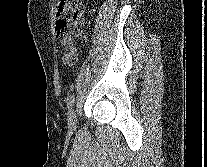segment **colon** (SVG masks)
I'll use <instances>...</instances> for the list:
<instances>
[{"label": "colon", "mask_w": 207, "mask_h": 167, "mask_svg": "<svg viewBox=\"0 0 207 167\" xmlns=\"http://www.w3.org/2000/svg\"><path fill=\"white\" fill-rule=\"evenodd\" d=\"M83 0H61L57 10L56 29L63 42L74 46L77 40L83 38Z\"/></svg>", "instance_id": "1"}]
</instances>
